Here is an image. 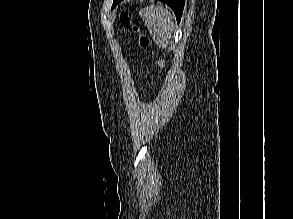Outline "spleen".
Wrapping results in <instances>:
<instances>
[{
	"instance_id": "3e777b00",
	"label": "spleen",
	"mask_w": 293,
	"mask_h": 219,
	"mask_svg": "<svg viewBox=\"0 0 293 219\" xmlns=\"http://www.w3.org/2000/svg\"><path fill=\"white\" fill-rule=\"evenodd\" d=\"M140 17L145 21L154 42L160 48H166L171 39L174 28L172 15L163 6H148L139 11Z\"/></svg>"
}]
</instances>
